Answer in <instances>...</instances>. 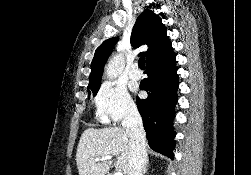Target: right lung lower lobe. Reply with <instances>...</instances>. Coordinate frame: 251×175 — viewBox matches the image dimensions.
Segmentation results:
<instances>
[{
  "mask_svg": "<svg viewBox=\"0 0 251 175\" xmlns=\"http://www.w3.org/2000/svg\"><path fill=\"white\" fill-rule=\"evenodd\" d=\"M175 54L157 65L147 66L140 89L148 93L147 99L137 97V107L143 119L150 147L173 158L174 105L177 102L178 75Z\"/></svg>",
  "mask_w": 251,
  "mask_h": 175,
  "instance_id": "98d812e1",
  "label": "right lung lower lobe"
}]
</instances>
